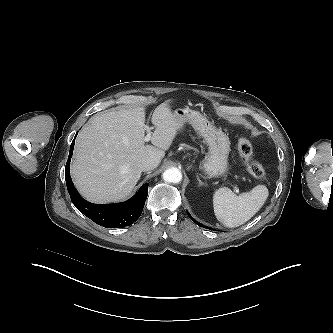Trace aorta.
I'll return each mask as SVG.
<instances>
[{"label":"aorta","mask_w":333,"mask_h":333,"mask_svg":"<svg viewBox=\"0 0 333 333\" xmlns=\"http://www.w3.org/2000/svg\"><path fill=\"white\" fill-rule=\"evenodd\" d=\"M163 178L166 182L179 183L182 179V174L178 168L172 167L164 172Z\"/></svg>","instance_id":"1"}]
</instances>
